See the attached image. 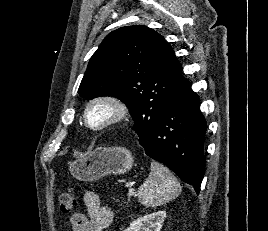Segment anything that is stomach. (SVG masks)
<instances>
[{
    "label": "stomach",
    "mask_w": 268,
    "mask_h": 231,
    "mask_svg": "<svg viewBox=\"0 0 268 231\" xmlns=\"http://www.w3.org/2000/svg\"><path fill=\"white\" fill-rule=\"evenodd\" d=\"M133 156L123 147H97L89 154L69 162V171L80 181H96L107 175H121L131 170Z\"/></svg>",
    "instance_id": "obj_1"
}]
</instances>
